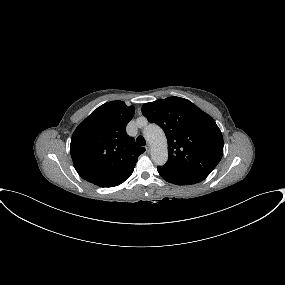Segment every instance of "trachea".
<instances>
[{"label":"trachea","mask_w":285,"mask_h":285,"mask_svg":"<svg viewBox=\"0 0 285 285\" xmlns=\"http://www.w3.org/2000/svg\"><path fill=\"white\" fill-rule=\"evenodd\" d=\"M136 143H137V145L144 146L146 144V141H145L144 137L138 136L136 139Z\"/></svg>","instance_id":"3493384b"}]
</instances>
